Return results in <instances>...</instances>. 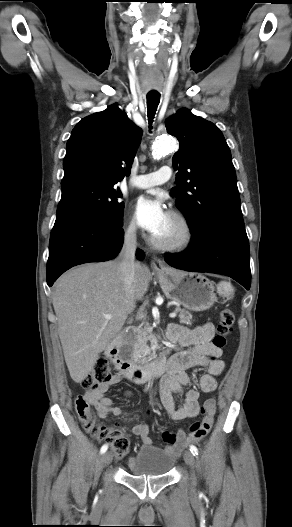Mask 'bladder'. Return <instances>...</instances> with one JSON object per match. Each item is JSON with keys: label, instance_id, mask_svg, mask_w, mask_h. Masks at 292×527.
<instances>
[{"label": "bladder", "instance_id": "bladder-1", "mask_svg": "<svg viewBox=\"0 0 292 527\" xmlns=\"http://www.w3.org/2000/svg\"><path fill=\"white\" fill-rule=\"evenodd\" d=\"M174 464L173 456L156 446H143L127 461L128 472L133 476H162Z\"/></svg>", "mask_w": 292, "mask_h": 527}]
</instances>
